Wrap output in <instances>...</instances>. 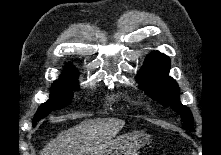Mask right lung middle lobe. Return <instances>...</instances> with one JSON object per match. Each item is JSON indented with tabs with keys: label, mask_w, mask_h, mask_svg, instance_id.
<instances>
[{
	"label": "right lung middle lobe",
	"mask_w": 221,
	"mask_h": 155,
	"mask_svg": "<svg viewBox=\"0 0 221 155\" xmlns=\"http://www.w3.org/2000/svg\"><path fill=\"white\" fill-rule=\"evenodd\" d=\"M75 72L62 75L51 87L50 99L43 103L33 118V126L51 111L65 107L71 102L73 90H79Z\"/></svg>",
	"instance_id": "dd1d6c3e"
}]
</instances>
